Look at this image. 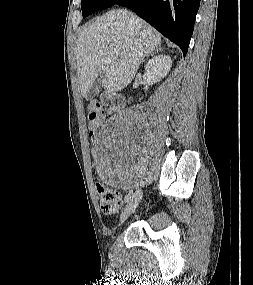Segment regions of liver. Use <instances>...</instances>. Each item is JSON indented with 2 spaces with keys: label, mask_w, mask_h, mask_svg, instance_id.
Instances as JSON below:
<instances>
[{
  "label": "liver",
  "mask_w": 253,
  "mask_h": 285,
  "mask_svg": "<svg viewBox=\"0 0 253 285\" xmlns=\"http://www.w3.org/2000/svg\"><path fill=\"white\" fill-rule=\"evenodd\" d=\"M161 42L156 29L127 10H113L98 17L78 36L77 75L83 97H87L102 71L104 89L109 92L124 89L145 55Z\"/></svg>",
  "instance_id": "liver-1"
}]
</instances>
